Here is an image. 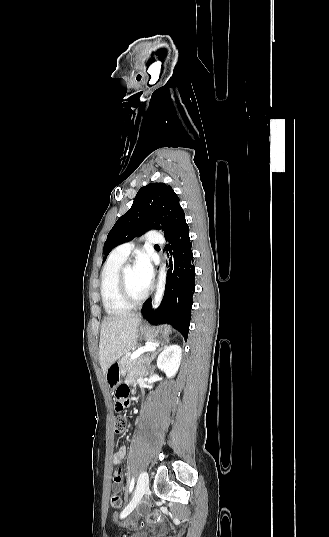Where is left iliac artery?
Returning a JSON list of instances; mask_svg holds the SVG:
<instances>
[{
  "label": "left iliac artery",
  "instance_id": "left-iliac-artery-1",
  "mask_svg": "<svg viewBox=\"0 0 329 537\" xmlns=\"http://www.w3.org/2000/svg\"><path fill=\"white\" fill-rule=\"evenodd\" d=\"M134 483H135V478H134V476H132V479H131V481L129 483V487H128V494H130L132 492V490L134 488Z\"/></svg>",
  "mask_w": 329,
  "mask_h": 537
}]
</instances>
